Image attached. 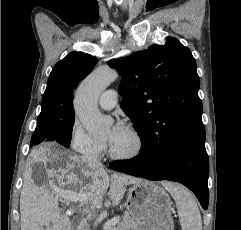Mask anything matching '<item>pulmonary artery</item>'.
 I'll list each match as a JSON object with an SVG mask.
<instances>
[{"label": "pulmonary artery", "mask_w": 241, "mask_h": 230, "mask_svg": "<svg viewBox=\"0 0 241 230\" xmlns=\"http://www.w3.org/2000/svg\"><path fill=\"white\" fill-rule=\"evenodd\" d=\"M117 103V93L114 89L104 91L99 98V105L102 109L111 110Z\"/></svg>", "instance_id": "obj_1"}]
</instances>
